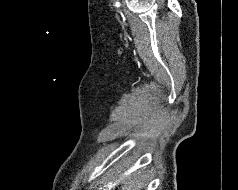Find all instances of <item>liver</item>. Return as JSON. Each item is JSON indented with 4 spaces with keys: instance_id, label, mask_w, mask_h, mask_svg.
<instances>
[{
    "instance_id": "1",
    "label": "liver",
    "mask_w": 238,
    "mask_h": 190,
    "mask_svg": "<svg viewBox=\"0 0 238 190\" xmlns=\"http://www.w3.org/2000/svg\"><path fill=\"white\" fill-rule=\"evenodd\" d=\"M143 177L140 174H132L122 181V187L119 190H141Z\"/></svg>"
}]
</instances>
